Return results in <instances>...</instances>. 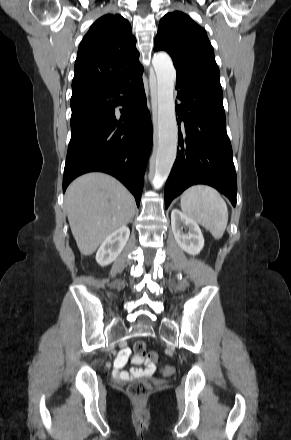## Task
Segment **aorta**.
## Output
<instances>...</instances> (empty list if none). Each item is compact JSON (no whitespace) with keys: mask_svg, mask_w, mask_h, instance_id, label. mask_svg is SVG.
<instances>
[{"mask_svg":"<svg viewBox=\"0 0 291 440\" xmlns=\"http://www.w3.org/2000/svg\"><path fill=\"white\" fill-rule=\"evenodd\" d=\"M152 64L157 78L158 129L153 185L159 188L168 178L177 155L178 128L173 98L176 73L172 60L166 53L155 54Z\"/></svg>","mask_w":291,"mask_h":440,"instance_id":"1","label":"aorta"}]
</instances>
